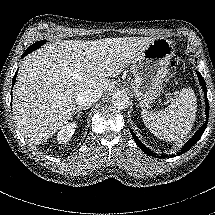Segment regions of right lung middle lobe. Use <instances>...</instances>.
Instances as JSON below:
<instances>
[{
  "label": "right lung middle lobe",
  "mask_w": 215,
  "mask_h": 215,
  "mask_svg": "<svg viewBox=\"0 0 215 215\" xmlns=\"http://www.w3.org/2000/svg\"><path fill=\"white\" fill-rule=\"evenodd\" d=\"M46 40H41V41H38L34 44H32L26 51L27 53H31L32 51L38 49L41 47V45L45 44Z\"/></svg>",
  "instance_id": "1"
}]
</instances>
